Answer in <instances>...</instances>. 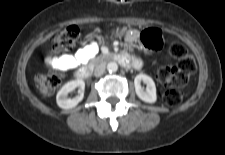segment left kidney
<instances>
[{
    "mask_svg": "<svg viewBox=\"0 0 225 155\" xmlns=\"http://www.w3.org/2000/svg\"><path fill=\"white\" fill-rule=\"evenodd\" d=\"M141 82L146 83L147 87L144 91L141 87ZM135 91L137 96L144 102H156V86L153 79L146 74H138L134 79Z\"/></svg>",
    "mask_w": 225,
    "mask_h": 155,
    "instance_id": "obj_1",
    "label": "left kidney"
}]
</instances>
